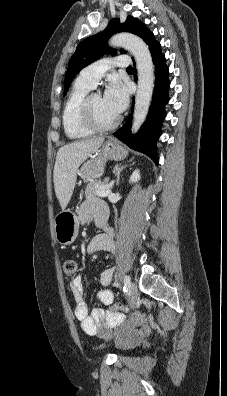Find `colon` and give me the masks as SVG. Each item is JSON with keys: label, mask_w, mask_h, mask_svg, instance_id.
<instances>
[{"label": "colon", "mask_w": 227, "mask_h": 396, "mask_svg": "<svg viewBox=\"0 0 227 396\" xmlns=\"http://www.w3.org/2000/svg\"><path fill=\"white\" fill-rule=\"evenodd\" d=\"M62 270H63L66 280L72 281L76 275V272H77V262L71 258L63 259ZM121 308H122V305L118 302L114 303L111 306V309L113 311H119Z\"/></svg>", "instance_id": "1"}]
</instances>
